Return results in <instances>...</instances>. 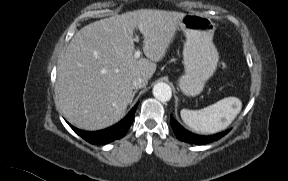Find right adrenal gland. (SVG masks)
Segmentation results:
<instances>
[{"label":"right adrenal gland","mask_w":288,"mask_h":181,"mask_svg":"<svg viewBox=\"0 0 288 181\" xmlns=\"http://www.w3.org/2000/svg\"><path fill=\"white\" fill-rule=\"evenodd\" d=\"M136 92H137V91H134V92H133V97H134V95H135Z\"/></svg>","instance_id":"2a0ac1e0"}]
</instances>
